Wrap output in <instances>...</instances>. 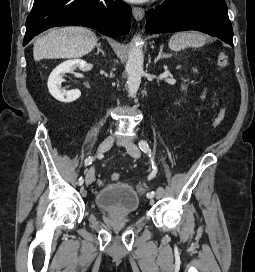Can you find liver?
<instances>
[{"label": "liver", "mask_w": 255, "mask_h": 272, "mask_svg": "<svg viewBox=\"0 0 255 272\" xmlns=\"http://www.w3.org/2000/svg\"><path fill=\"white\" fill-rule=\"evenodd\" d=\"M97 40L95 33L84 27L53 29L35 41L33 57L35 61L79 58L88 54L95 47Z\"/></svg>", "instance_id": "obj_1"}]
</instances>
